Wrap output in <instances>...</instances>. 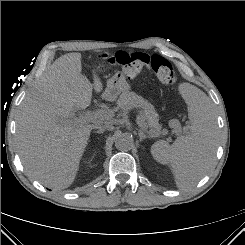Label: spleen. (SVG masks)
<instances>
[{"label":"spleen","mask_w":245,"mask_h":245,"mask_svg":"<svg viewBox=\"0 0 245 245\" xmlns=\"http://www.w3.org/2000/svg\"><path fill=\"white\" fill-rule=\"evenodd\" d=\"M181 93L188 105L191 122L189 132L172 145L164 140L155 142L151 154L161 164L172 168L179 189L194 186L210 169L217 147V126L209 97L197 87L184 83Z\"/></svg>","instance_id":"1"}]
</instances>
